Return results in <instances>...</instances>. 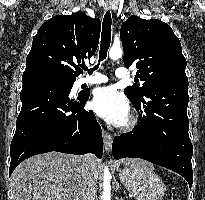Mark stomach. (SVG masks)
Instances as JSON below:
<instances>
[{
    "label": "stomach",
    "instance_id": "1",
    "mask_svg": "<svg viewBox=\"0 0 205 200\" xmlns=\"http://www.w3.org/2000/svg\"><path fill=\"white\" fill-rule=\"evenodd\" d=\"M119 178L136 200H160L165 193L162 179L150 166L143 163L120 169Z\"/></svg>",
    "mask_w": 205,
    "mask_h": 200
}]
</instances>
